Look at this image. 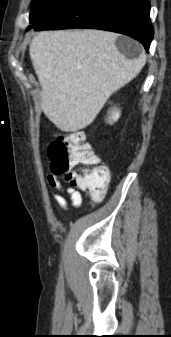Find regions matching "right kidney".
<instances>
[{"label": "right kidney", "instance_id": "obj_1", "mask_svg": "<svg viewBox=\"0 0 171 337\" xmlns=\"http://www.w3.org/2000/svg\"><path fill=\"white\" fill-rule=\"evenodd\" d=\"M110 114L111 115L109 117L108 122L112 124L113 122H115V121H117L119 119V117H120V110L115 108V109H113L111 111Z\"/></svg>", "mask_w": 171, "mask_h": 337}]
</instances>
